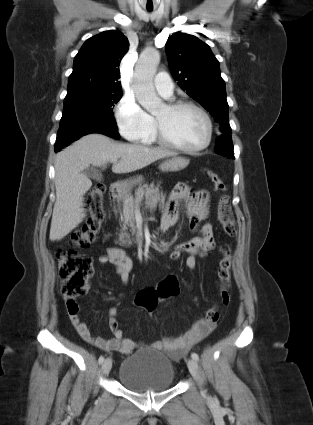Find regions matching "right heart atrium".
<instances>
[{
	"label": "right heart atrium",
	"instance_id": "right-heart-atrium-1",
	"mask_svg": "<svg viewBox=\"0 0 313 425\" xmlns=\"http://www.w3.org/2000/svg\"><path fill=\"white\" fill-rule=\"evenodd\" d=\"M115 119L120 133L129 141L142 142L154 130L153 118L128 95L120 99L115 109Z\"/></svg>",
	"mask_w": 313,
	"mask_h": 425
}]
</instances>
